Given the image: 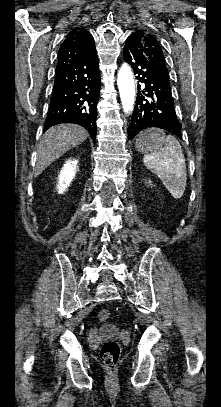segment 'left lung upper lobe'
<instances>
[{
    "mask_svg": "<svg viewBox=\"0 0 221 407\" xmlns=\"http://www.w3.org/2000/svg\"><path fill=\"white\" fill-rule=\"evenodd\" d=\"M138 41L141 52L147 59L163 72L168 73L162 48L157 39L143 31L133 33Z\"/></svg>",
    "mask_w": 221,
    "mask_h": 407,
    "instance_id": "obj_1",
    "label": "left lung upper lobe"
}]
</instances>
